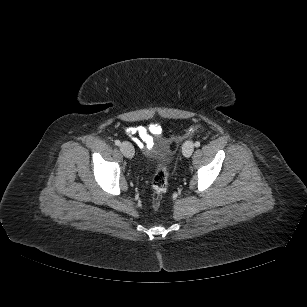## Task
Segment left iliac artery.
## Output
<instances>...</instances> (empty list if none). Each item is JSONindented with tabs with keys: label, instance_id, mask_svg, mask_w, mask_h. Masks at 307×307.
I'll use <instances>...</instances> for the list:
<instances>
[{
	"label": "left iliac artery",
	"instance_id": "1",
	"mask_svg": "<svg viewBox=\"0 0 307 307\" xmlns=\"http://www.w3.org/2000/svg\"><path fill=\"white\" fill-rule=\"evenodd\" d=\"M195 146L199 147L200 146V142L199 141L195 142Z\"/></svg>",
	"mask_w": 307,
	"mask_h": 307
}]
</instances>
